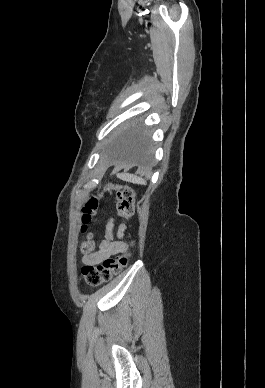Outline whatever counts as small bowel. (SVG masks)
Listing matches in <instances>:
<instances>
[{
  "label": "small bowel",
  "instance_id": "small-bowel-1",
  "mask_svg": "<svg viewBox=\"0 0 265 388\" xmlns=\"http://www.w3.org/2000/svg\"><path fill=\"white\" fill-rule=\"evenodd\" d=\"M113 220L110 219L106 225L105 239L100 243L96 251L84 255L82 262L85 265H97L104 259L126 250V245L120 240H114L112 235ZM123 229H121V232ZM120 232V233H121Z\"/></svg>",
  "mask_w": 265,
  "mask_h": 388
}]
</instances>
